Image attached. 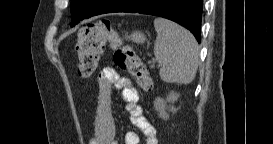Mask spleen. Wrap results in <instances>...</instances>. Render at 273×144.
Returning a JSON list of instances; mask_svg holds the SVG:
<instances>
[{"mask_svg": "<svg viewBox=\"0 0 273 144\" xmlns=\"http://www.w3.org/2000/svg\"><path fill=\"white\" fill-rule=\"evenodd\" d=\"M154 55L161 65L159 75L167 83L190 84L198 68V45L184 27L164 18H156Z\"/></svg>", "mask_w": 273, "mask_h": 144, "instance_id": "obj_1", "label": "spleen"}]
</instances>
